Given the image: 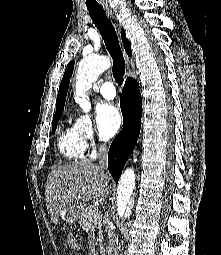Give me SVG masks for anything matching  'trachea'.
I'll return each mask as SVG.
<instances>
[{"label": "trachea", "instance_id": "3493384b", "mask_svg": "<svg viewBox=\"0 0 221 255\" xmlns=\"http://www.w3.org/2000/svg\"><path fill=\"white\" fill-rule=\"evenodd\" d=\"M88 11L93 23L100 31L106 48L113 59V77L118 85H122L125 76V63L115 28L102 8H88Z\"/></svg>", "mask_w": 221, "mask_h": 255}]
</instances>
